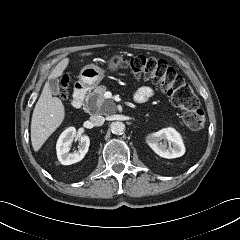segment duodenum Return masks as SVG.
<instances>
[{
    "instance_id": "410a0bca",
    "label": "duodenum",
    "mask_w": 240,
    "mask_h": 240,
    "mask_svg": "<svg viewBox=\"0 0 240 240\" xmlns=\"http://www.w3.org/2000/svg\"><path fill=\"white\" fill-rule=\"evenodd\" d=\"M87 88L84 85H77L74 89V95L71 105L74 109H79L84 101Z\"/></svg>"
}]
</instances>
